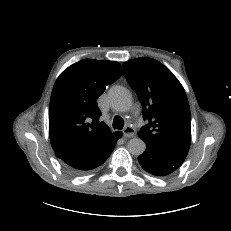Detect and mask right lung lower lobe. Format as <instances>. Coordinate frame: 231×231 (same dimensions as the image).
<instances>
[{
    "label": "right lung lower lobe",
    "instance_id": "obj_1",
    "mask_svg": "<svg viewBox=\"0 0 231 231\" xmlns=\"http://www.w3.org/2000/svg\"><path fill=\"white\" fill-rule=\"evenodd\" d=\"M122 132H117L112 139L101 146L78 152H68L57 155L73 173H83L102 165L112 153Z\"/></svg>",
    "mask_w": 231,
    "mask_h": 231
}]
</instances>
